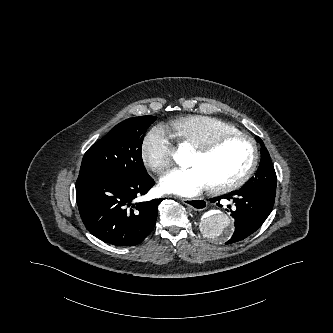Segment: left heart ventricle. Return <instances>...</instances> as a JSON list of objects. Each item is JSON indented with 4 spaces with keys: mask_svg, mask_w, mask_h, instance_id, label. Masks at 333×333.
<instances>
[{
    "mask_svg": "<svg viewBox=\"0 0 333 333\" xmlns=\"http://www.w3.org/2000/svg\"><path fill=\"white\" fill-rule=\"evenodd\" d=\"M252 147L244 140H230L208 155L192 152L188 165L198 167L211 185L239 177L250 165Z\"/></svg>",
    "mask_w": 333,
    "mask_h": 333,
    "instance_id": "obj_1",
    "label": "left heart ventricle"
}]
</instances>
